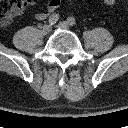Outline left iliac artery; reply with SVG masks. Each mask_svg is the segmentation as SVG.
<instances>
[{"label":"left iliac artery","instance_id":"obj_1","mask_svg":"<svg viewBox=\"0 0 128 128\" xmlns=\"http://www.w3.org/2000/svg\"><path fill=\"white\" fill-rule=\"evenodd\" d=\"M67 22L70 26H74L76 24L74 17H68Z\"/></svg>","mask_w":128,"mask_h":128}]
</instances>
